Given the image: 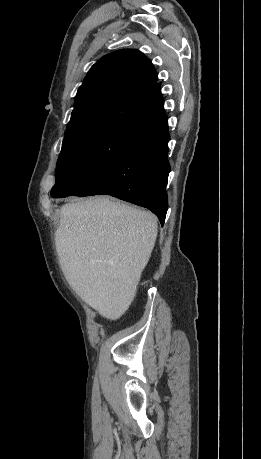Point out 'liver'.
Instances as JSON below:
<instances>
[{"mask_svg":"<svg viewBox=\"0 0 261 459\" xmlns=\"http://www.w3.org/2000/svg\"><path fill=\"white\" fill-rule=\"evenodd\" d=\"M157 233L150 212L93 197L61 207L55 245L77 294L101 316L115 320L135 296Z\"/></svg>","mask_w":261,"mask_h":459,"instance_id":"1","label":"liver"}]
</instances>
